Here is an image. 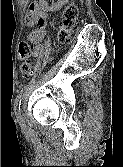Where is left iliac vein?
I'll use <instances>...</instances> for the list:
<instances>
[{
  "instance_id": "obj_1",
  "label": "left iliac vein",
  "mask_w": 123,
  "mask_h": 167,
  "mask_svg": "<svg viewBox=\"0 0 123 167\" xmlns=\"http://www.w3.org/2000/svg\"><path fill=\"white\" fill-rule=\"evenodd\" d=\"M19 122H20L21 124H23V123H24V119H23V117H22V116H19Z\"/></svg>"
}]
</instances>
